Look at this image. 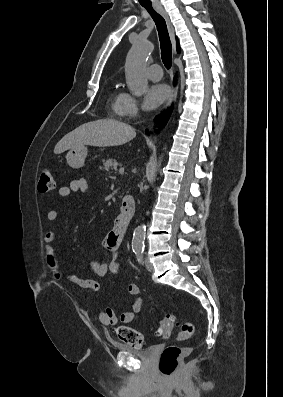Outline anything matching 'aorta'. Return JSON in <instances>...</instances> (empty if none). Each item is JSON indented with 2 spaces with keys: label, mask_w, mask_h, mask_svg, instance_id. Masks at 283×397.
I'll return each instance as SVG.
<instances>
[{
  "label": "aorta",
  "mask_w": 283,
  "mask_h": 397,
  "mask_svg": "<svg viewBox=\"0 0 283 397\" xmlns=\"http://www.w3.org/2000/svg\"><path fill=\"white\" fill-rule=\"evenodd\" d=\"M153 50V46L147 42L135 43L126 57L125 76L129 90L137 97L148 91V80L146 76V62ZM162 157L159 158L157 170L161 165ZM145 225L141 224L135 228L132 239V249L141 251L144 247Z\"/></svg>",
  "instance_id": "1"
}]
</instances>
